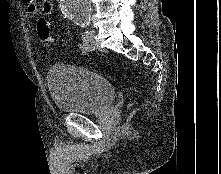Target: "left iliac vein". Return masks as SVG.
<instances>
[{"instance_id":"obj_1","label":"left iliac vein","mask_w":221,"mask_h":174,"mask_svg":"<svg viewBox=\"0 0 221 174\" xmlns=\"http://www.w3.org/2000/svg\"><path fill=\"white\" fill-rule=\"evenodd\" d=\"M96 37V31L94 29H89L86 33L85 39L87 42H94Z\"/></svg>"}]
</instances>
